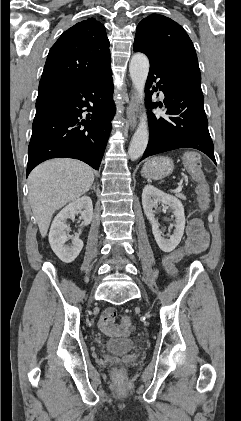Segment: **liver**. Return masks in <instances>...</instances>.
<instances>
[{
  "label": "liver",
  "mask_w": 241,
  "mask_h": 421,
  "mask_svg": "<svg viewBox=\"0 0 241 421\" xmlns=\"http://www.w3.org/2000/svg\"><path fill=\"white\" fill-rule=\"evenodd\" d=\"M93 181V171L87 164L69 158L46 161L30 173L28 197L42 237L53 214L88 192Z\"/></svg>",
  "instance_id": "obj_1"
}]
</instances>
